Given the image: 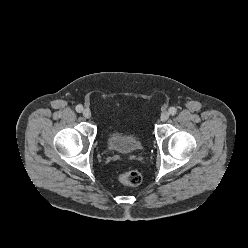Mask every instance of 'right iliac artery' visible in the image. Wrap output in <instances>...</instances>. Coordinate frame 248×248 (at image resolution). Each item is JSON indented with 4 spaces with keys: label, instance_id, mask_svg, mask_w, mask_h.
<instances>
[{
    "label": "right iliac artery",
    "instance_id": "obj_1",
    "mask_svg": "<svg viewBox=\"0 0 248 248\" xmlns=\"http://www.w3.org/2000/svg\"><path fill=\"white\" fill-rule=\"evenodd\" d=\"M76 111L79 112V113L82 112L83 111V106L82 105H77L76 106Z\"/></svg>",
    "mask_w": 248,
    "mask_h": 248
}]
</instances>
